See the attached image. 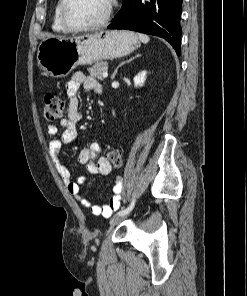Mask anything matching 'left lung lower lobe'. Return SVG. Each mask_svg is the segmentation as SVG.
Listing matches in <instances>:
<instances>
[{"label": "left lung lower lobe", "instance_id": "obj_1", "mask_svg": "<svg viewBox=\"0 0 247 296\" xmlns=\"http://www.w3.org/2000/svg\"><path fill=\"white\" fill-rule=\"evenodd\" d=\"M183 0H123L110 29H128L155 35L167 40L181 54V5Z\"/></svg>", "mask_w": 247, "mask_h": 296}]
</instances>
